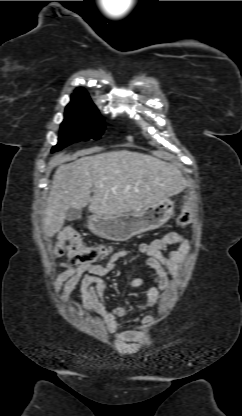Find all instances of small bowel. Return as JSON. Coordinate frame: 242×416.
Returning <instances> with one entry per match:
<instances>
[{
    "mask_svg": "<svg viewBox=\"0 0 242 416\" xmlns=\"http://www.w3.org/2000/svg\"><path fill=\"white\" fill-rule=\"evenodd\" d=\"M169 245L178 247L170 249ZM188 250L187 240L177 232L167 233L162 238L139 245L138 252L146 255L145 265L155 272L153 285L147 289L139 305L142 311L151 309L159 301L162 293L169 286V277L177 276L181 271ZM130 254V251L118 250L104 264L74 265L70 262H62L60 267L63 271L59 274L56 283V290L61 292L63 305L68 302L74 289L80 285L82 306L85 312L95 310L103 318L108 331L120 344L134 341L140 331L138 329L119 330L118 319L124 316L126 310L122 306L112 309L107 307L106 285L102 278L112 273L117 262ZM143 283L142 279L134 278L131 286L140 287ZM141 322L147 326L151 323V318L144 317Z\"/></svg>",
    "mask_w": 242,
    "mask_h": 416,
    "instance_id": "obj_1",
    "label": "small bowel"
}]
</instances>
